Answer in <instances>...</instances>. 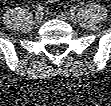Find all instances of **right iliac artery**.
<instances>
[{
  "instance_id": "1",
  "label": "right iliac artery",
  "mask_w": 111,
  "mask_h": 106,
  "mask_svg": "<svg viewBox=\"0 0 111 106\" xmlns=\"http://www.w3.org/2000/svg\"><path fill=\"white\" fill-rule=\"evenodd\" d=\"M43 9H44V7H43V6H38V7H37V11H38V12H42V11H43Z\"/></svg>"
}]
</instances>
